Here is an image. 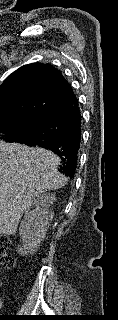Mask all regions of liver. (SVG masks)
<instances>
[{"label": "liver", "instance_id": "6515ba94", "mask_svg": "<svg viewBox=\"0 0 118 320\" xmlns=\"http://www.w3.org/2000/svg\"><path fill=\"white\" fill-rule=\"evenodd\" d=\"M59 164L49 150L0 140V227H12L38 196L67 183Z\"/></svg>", "mask_w": 118, "mask_h": 320}]
</instances>
